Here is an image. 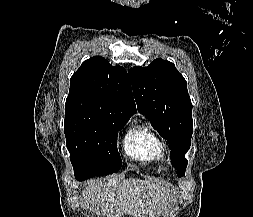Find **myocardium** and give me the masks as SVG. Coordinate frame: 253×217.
<instances>
[{
	"instance_id": "obj_1",
	"label": "myocardium",
	"mask_w": 253,
	"mask_h": 217,
	"mask_svg": "<svg viewBox=\"0 0 253 217\" xmlns=\"http://www.w3.org/2000/svg\"><path fill=\"white\" fill-rule=\"evenodd\" d=\"M163 156H164V155H163ZM163 156H162V157H163ZM165 157H166V161H167V163L169 164V158H168V155H166Z\"/></svg>"
}]
</instances>
